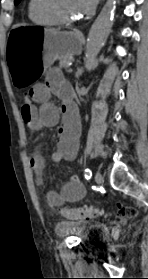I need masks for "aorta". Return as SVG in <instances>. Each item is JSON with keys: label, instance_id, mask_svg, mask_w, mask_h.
I'll return each instance as SVG.
<instances>
[{"label": "aorta", "instance_id": "aorta-1", "mask_svg": "<svg viewBox=\"0 0 148 279\" xmlns=\"http://www.w3.org/2000/svg\"><path fill=\"white\" fill-rule=\"evenodd\" d=\"M115 1L107 0L100 14L94 21L87 38L86 62L87 70L92 68L94 60L103 47L113 25Z\"/></svg>", "mask_w": 148, "mask_h": 279}]
</instances>
